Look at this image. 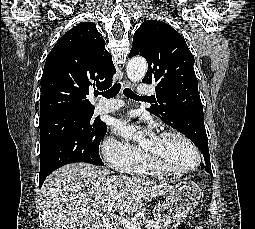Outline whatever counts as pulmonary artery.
<instances>
[{
	"mask_svg": "<svg viewBox=\"0 0 255 229\" xmlns=\"http://www.w3.org/2000/svg\"><path fill=\"white\" fill-rule=\"evenodd\" d=\"M138 92L141 95H151L155 92V88L152 85H140V87L138 88ZM122 106H123L122 101L112 99L100 104L97 107L96 112L98 114L112 113L120 109Z\"/></svg>",
	"mask_w": 255,
	"mask_h": 229,
	"instance_id": "pulmonary-artery-1",
	"label": "pulmonary artery"
}]
</instances>
